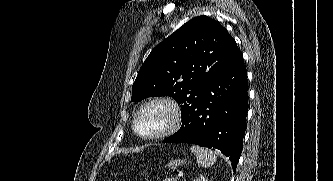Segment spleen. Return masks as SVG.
<instances>
[{"label":"spleen","mask_w":333,"mask_h":181,"mask_svg":"<svg viewBox=\"0 0 333 181\" xmlns=\"http://www.w3.org/2000/svg\"><path fill=\"white\" fill-rule=\"evenodd\" d=\"M190 149L196 156L198 165L203 168L212 166L217 160L215 153L211 150L196 145H192Z\"/></svg>","instance_id":"obj_1"}]
</instances>
